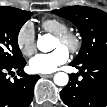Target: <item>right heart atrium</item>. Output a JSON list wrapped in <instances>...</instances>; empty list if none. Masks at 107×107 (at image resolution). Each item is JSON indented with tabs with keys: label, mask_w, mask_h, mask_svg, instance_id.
<instances>
[{
	"label": "right heart atrium",
	"mask_w": 107,
	"mask_h": 107,
	"mask_svg": "<svg viewBox=\"0 0 107 107\" xmlns=\"http://www.w3.org/2000/svg\"><path fill=\"white\" fill-rule=\"evenodd\" d=\"M17 45L25 56H31L36 51L35 30L30 22L25 23L18 31Z\"/></svg>",
	"instance_id": "1"
}]
</instances>
